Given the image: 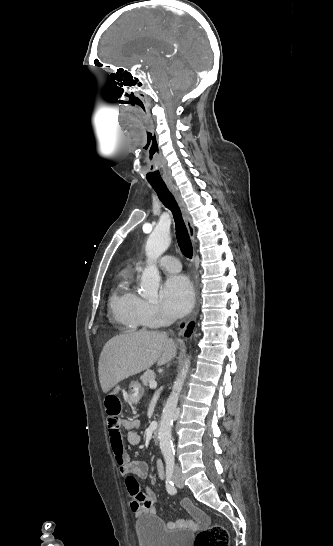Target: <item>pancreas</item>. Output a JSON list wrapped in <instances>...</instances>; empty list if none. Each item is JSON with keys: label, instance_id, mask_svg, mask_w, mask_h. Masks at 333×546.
I'll return each instance as SVG.
<instances>
[{"label": "pancreas", "instance_id": "pancreas-1", "mask_svg": "<svg viewBox=\"0 0 333 546\" xmlns=\"http://www.w3.org/2000/svg\"><path fill=\"white\" fill-rule=\"evenodd\" d=\"M156 375L152 370H147L142 376L141 381L144 386H149V383L153 380H155Z\"/></svg>", "mask_w": 333, "mask_h": 546}]
</instances>
